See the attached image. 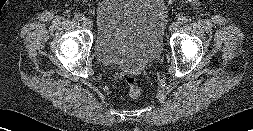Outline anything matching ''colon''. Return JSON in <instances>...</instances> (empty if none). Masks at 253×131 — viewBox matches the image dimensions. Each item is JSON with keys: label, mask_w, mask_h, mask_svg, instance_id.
Returning <instances> with one entry per match:
<instances>
[{"label": "colon", "mask_w": 253, "mask_h": 131, "mask_svg": "<svg viewBox=\"0 0 253 131\" xmlns=\"http://www.w3.org/2000/svg\"><path fill=\"white\" fill-rule=\"evenodd\" d=\"M128 95L131 98H137L140 95V88L137 77L134 74H127L124 78Z\"/></svg>", "instance_id": "colon-1"}]
</instances>
